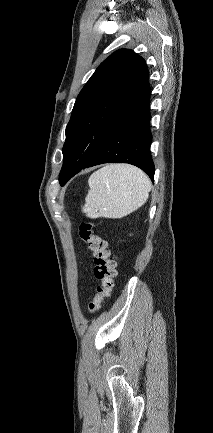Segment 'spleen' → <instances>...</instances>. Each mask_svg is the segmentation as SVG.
<instances>
[{"label": "spleen", "instance_id": "spleen-1", "mask_svg": "<svg viewBox=\"0 0 213 433\" xmlns=\"http://www.w3.org/2000/svg\"><path fill=\"white\" fill-rule=\"evenodd\" d=\"M89 191L83 213L89 218H122L136 211L147 200L151 182L137 167L110 164L89 178Z\"/></svg>", "mask_w": 213, "mask_h": 433}]
</instances>
